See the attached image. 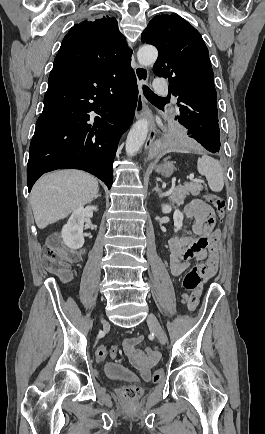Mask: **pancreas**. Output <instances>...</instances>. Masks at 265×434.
<instances>
[{
    "label": "pancreas",
    "instance_id": "1",
    "mask_svg": "<svg viewBox=\"0 0 265 434\" xmlns=\"http://www.w3.org/2000/svg\"><path fill=\"white\" fill-rule=\"evenodd\" d=\"M203 186L201 184H195V182H190V184H184V186H177L173 190L172 194L169 196L172 204H183L186 196H199L200 190Z\"/></svg>",
    "mask_w": 265,
    "mask_h": 434
}]
</instances>
